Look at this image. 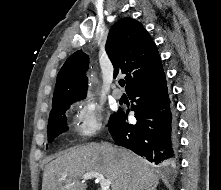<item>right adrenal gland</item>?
Instances as JSON below:
<instances>
[{
  "label": "right adrenal gland",
  "instance_id": "right-adrenal-gland-1",
  "mask_svg": "<svg viewBox=\"0 0 221 190\" xmlns=\"http://www.w3.org/2000/svg\"><path fill=\"white\" fill-rule=\"evenodd\" d=\"M149 190H156V186L152 187V188H151V189H149Z\"/></svg>",
  "mask_w": 221,
  "mask_h": 190
}]
</instances>
